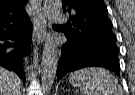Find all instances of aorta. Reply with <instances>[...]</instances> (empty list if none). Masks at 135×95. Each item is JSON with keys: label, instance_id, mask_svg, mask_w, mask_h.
Segmentation results:
<instances>
[{"label": "aorta", "instance_id": "1", "mask_svg": "<svg viewBox=\"0 0 135 95\" xmlns=\"http://www.w3.org/2000/svg\"><path fill=\"white\" fill-rule=\"evenodd\" d=\"M62 7L61 0H44V13L49 21L53 19L60 12ZM58 66V53L54 42L50 39L46 40L41 62V80L42 87L45 92H50L54 83Z\"/></svg>", "mask_w": 135, "mask_h": 95}]
</instances>
